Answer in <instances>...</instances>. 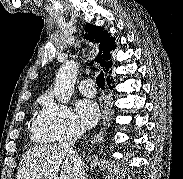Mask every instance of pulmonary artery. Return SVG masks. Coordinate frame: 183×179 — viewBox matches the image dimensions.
Returning a JSON list of instances; mask_svg holds the SVG:
<instances>
[{
    "instance_id": "pulmonary-artery-1",
    "label": "pulmonary artery",
    "mask_w": 183,
    "mask_h": 179,
    "mask_svg": "<svg viewBox=\"0 0 183 179\" xmlns=\"http://www.w3.org/2000/svg\"><path fill=\"white\" fill-rule=\"evenodd\" d=\"M78 88L85 96H94L96 93L94 82L91 79L81 80L78 84Z\"/></svg>"
}]
</instances>
